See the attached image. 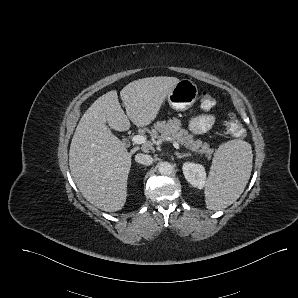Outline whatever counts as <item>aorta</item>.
<instances>
[{"label":"aorta","mask_w":298,"mask_h":298,"mask_svg":"<svg viewBox=\"0 0 298 298\" xmlns=\"http://www.w3.org/2000/svg\"><path fill=\"white\" fill-rule=\"evenodd\" d=\"M173 169V165L167 161L161 162L158 166V172L164 176L172 174Z\"/></svg>","instance_id":"aorta-1"}]
</instances>
